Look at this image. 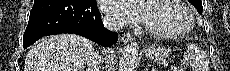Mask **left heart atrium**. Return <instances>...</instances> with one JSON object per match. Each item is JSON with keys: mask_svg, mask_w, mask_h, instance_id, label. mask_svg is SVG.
I'll return each mask as SVG.
<instances>
[{"mask_svg": "<svg viewBox=\"0 0 230 71\" xmlns=\"http://www.w3.org/2000/svg\"><path fill=\"white\" fill-rule=\"evenodd\" d=\"M103 7L112 16L131 24L146 21L144 1L104 0Z\"/></svg>", "mask_w": 230, "mask_h": 71, "instance_id": "left-heart-atrium-1", "label": "left heart atrium"}]
</instances>
